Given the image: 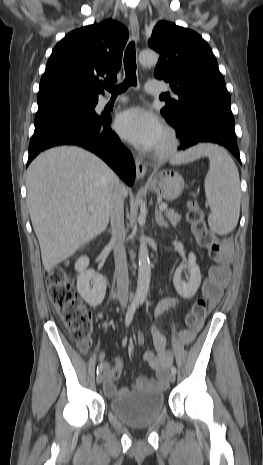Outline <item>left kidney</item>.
I'll return each mask as SVG.
<instances>
[{
    "instance_id": "1",
    "label": "left kidney",
    "mask_w": 263,
    "mask_h": 465,
    "mask_svg": "<svg viewBox=\"0 0 263 465\" xmlns=\"http://www.w3.org/2000/svg\"><path fill=\"white\" fill-rule=\"evenodd\" d=\"M183 269H188L189 272V276H186L187 282L181 279ZM173 284L177 293L185 299H189L196 294L201 284V273L199 266L196 264V256L194 253H189L188 262L176 269L173 277Z\"/></svg>"
}]
</instances>
